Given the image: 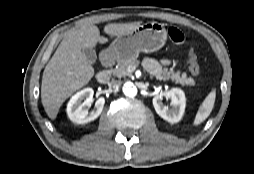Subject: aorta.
<instances>
[{
	"mask_svg": "<svg viewBox=\"0 0 254 174\" xmlns=\"http://www.w3.org/2000/svg\"><path fill=\"white\" fill-rule=\"evenodd\" d=\"M122 90L123 93L128 97H135L138 91L136 86L131 82L125 83Z\"/></svg>",
	"mask_w": 254,
	"mask_h": 174,
	"instance_id": "aorta-1",
	"label": "aorta"
}]
</instances>
